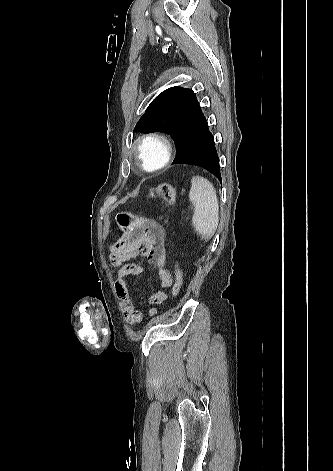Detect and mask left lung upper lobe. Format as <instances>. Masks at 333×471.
Listing matches in <instances>:
<instances>
[{"label": "left lung upper lobe", "mask_w": 333, "mask_h": 471, "mask_svg": "<svg viewBox=\"0 0 333 471\" xmlns=\"http://www.w3.org/2000/svg\"><path fill=\"white\" fill-rule=\"evenodd\" d=\"M204 114L192 89L171 87L148 106L133 132H165L175 140L179 154L190 141Z\"/></svg>", "instance_id": "1"}]
</instances>
